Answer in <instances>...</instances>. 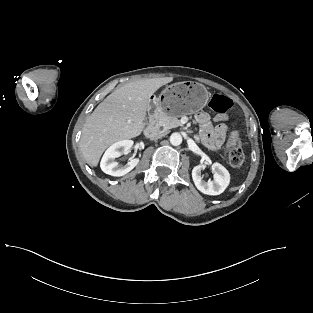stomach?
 I'll return each mask as SVG.
<instances>
[{"mask_svg": "<svg viewBox=\"0 0 313 313\" xmlns=\"http://www.w3.org/2000/svg\"><path fill=\"white\" fill-rule=\"evenodd\" d=\"M208 99L209 93L204 85L183 81L167 86L159 97H152L151 105L156 111L182 116L201 110Z\"/></svg>", "mask_w": 313, "mask_h": 313, "instance_id": "obj_1", "label": "stomach"}]
</instances>
